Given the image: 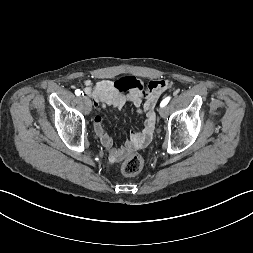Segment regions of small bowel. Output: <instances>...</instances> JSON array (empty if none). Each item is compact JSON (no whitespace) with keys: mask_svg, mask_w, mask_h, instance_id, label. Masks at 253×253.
<instances>
[{"mask_svg":"<svg viewBox=\"0 0 253 253\" xmlns=\"http://www.w3.org/2000/svg\"><path fill=\"white\" fill-rule=\"evenodd\" d=\"M86 92L89 94L97 109L101 110L107 106L116 110L122 109L127 103H131L139 114L145 116L144 126L141 131H132L128 140L120 147L113 146V139L105 129L103 119L100 115L94 117L95 133L102 145L109 151L111 163L123 160L132 151L146 146L153 137L156 116L154 106L171 83L169 80H152L145 89L143 83L134 77H123L117 82L104 79L96 84L85 81Z\"/></svg>","mask_w":253,"mask_h":253,"instance_id":"small-bowel-1","label":"small bowel"}]
</instances>
